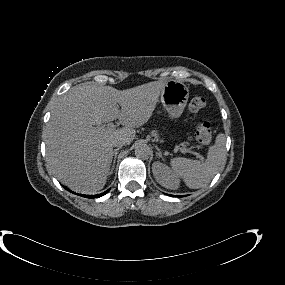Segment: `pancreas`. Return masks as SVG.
Here are the masks:
<instances>
[{"label": "pancreas", "instance_id": "obj_1", "mask_svg": "<svg viewBox=\"0 0 285 285\" xmlns=\"http://www.w3.org/2000/svg\"><path fill=\"white\" fill-rule=\"evenodd\" d=\"M152 135L155 136L156 138L158 137V134H157L156 131H153V132H152Z\"/></svg>", "mask_w": 285, "mask_h": 285}]
</instances>
